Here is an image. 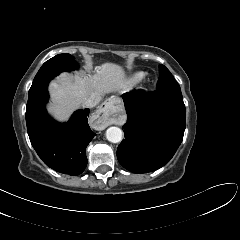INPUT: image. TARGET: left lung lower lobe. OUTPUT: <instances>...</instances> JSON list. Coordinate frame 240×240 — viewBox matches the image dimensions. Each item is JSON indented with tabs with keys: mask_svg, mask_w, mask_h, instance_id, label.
Returning a JSON list of instances; mask_svg holds the SVG:
<instances>
[{
	"mask_svg": "<svg viewBox=\"0 0 240 240\" xmlns=\"http://www.w3.org/2000/svg\"><path fill=\"white\" fill-rule=\"evenodd\" d=\"M127 122L117 148L119 163L133 173L155 171L180 146L185 130V105L180 88L141 90L123 96Z\"/></svg>",
	"mask_w": 240,
	"mask_h": 240,
	"instance_id": "1",
	"label": "left lung lower lobe"
}]
</instances>
